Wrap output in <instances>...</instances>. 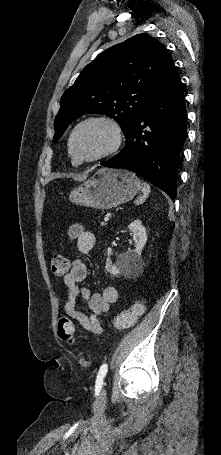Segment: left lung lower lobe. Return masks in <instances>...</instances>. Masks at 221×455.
<instances>
[{
    "mask_svg": "<svg viewBox=\"0 0 221 455\" xmlns=\"http://www.w3.org/2000/svg\"><path fill=\"white\" fill-rule=\"evenodd\" d=\"M186 124L183 87L174 67L139 112L124 149L101 165L134 171L174 200Z\"/></svg>",
    "mask_w": 221,
    "mask_h": 455,
    "instance_id": "0a47b994",
    "label": "left lung lower lobe"
}]
</instances>
